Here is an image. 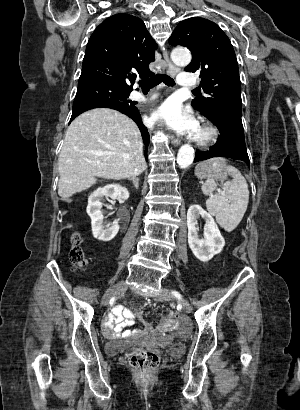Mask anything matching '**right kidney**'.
I'll use <instances>...</instances> for the list:
<instances>
[{
	"label": "right kidney",
	"instance_id": "1",
	"mask_svg": "<svg viewBox=\"0 0 300 410\" xmlns=\"http://www.w3.org/2000/svg\"><path fill=\"white\" fill-rule=\"evenodd\" d=\"M113 200H127L129 192L127 188L119 184H108L104 187L97 188L88 198L87 214L91 219L93 237L101 241L112 240L119 231L118 220L111 224L104 223V216L101 211L104 198Z\"/></svg>",
	"mask_w": 300,
	"mask_h": 410
}]
</instances>
